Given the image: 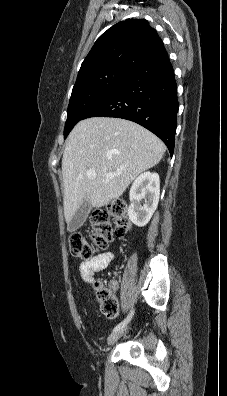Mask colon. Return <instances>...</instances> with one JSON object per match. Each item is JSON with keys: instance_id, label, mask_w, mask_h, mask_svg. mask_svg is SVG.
Listing matches in <instances>:
<instances>
[{"instance_id": "1", "label": "colon", "mask_w": 227, "mask_h": 396, "mask_svg": "<svg viewBox=\"0 0 227 396\" xmlns=\"http://www.w3.org/2000/svg\"><path fill=\"white\" fill-rule=\"evenodd\" d=\"M91 224L90 240L79 233H74L69 238L70 252L75 258L89 260L97 250L106 249L114 235L124 237L131 228L124 202L120 199L96 210L92 215ZM94 291L103 314L107 317H115L118 305L111 288L101 281H95Z\"/></svg>"}]
</instances>
